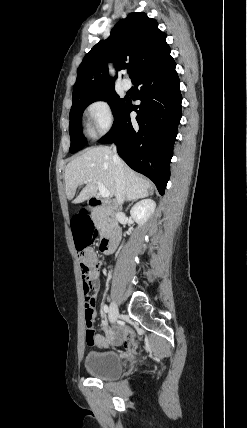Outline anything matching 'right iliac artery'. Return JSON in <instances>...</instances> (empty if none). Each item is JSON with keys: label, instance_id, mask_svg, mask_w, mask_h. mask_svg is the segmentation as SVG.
Returning <instances> with one entry per match:
<instances>
[{"label": "right iliac artery", "instance_id": "1", "mask_svg": "<svg viewBox=\"0 0 247 428\" xmlns=\"http://www.w3.org/2000/svg\"><path fill=\"white\" fill-rule=\"evenodd\" d=\"M103 310H104V312H105V313H108V312H109V308H108V306H107V305H104Z\"/></svg>", "mask_w": 247, "mask_h": 428}]
</instances>
